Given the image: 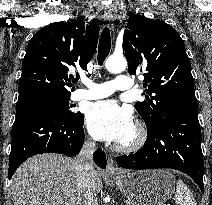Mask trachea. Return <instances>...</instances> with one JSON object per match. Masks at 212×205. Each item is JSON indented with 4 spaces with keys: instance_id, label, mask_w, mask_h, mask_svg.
I'll use <instances>...</instances> for the list:
<instances>
[{
    "instance_id": "obj_1",
    "label": "trachea",
    "mask_w": 212,
    "mask_h": 205,
    "mask_svg": "<svg viewBox=\"0 0 212 205\" xmlns=\"http://www.w3.org/2000/svg\"><path fill=\"white\" fill-rule=\"evenodd\" d=\"M111 49V36L108 27H105L101 33L98 47V64L102 65ZM77 81V80H76Z\"/></svg>"
}]
</instances>
